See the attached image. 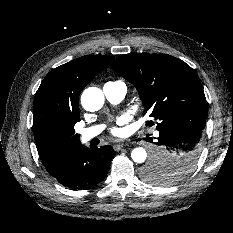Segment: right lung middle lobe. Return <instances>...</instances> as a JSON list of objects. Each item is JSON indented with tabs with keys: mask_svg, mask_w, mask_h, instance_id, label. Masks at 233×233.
<instances>
[{
	"mask_svg": "<svg viewBox=\"0 0 233 233\" xmlns=\"http://www.w3.org/2000/svg\"><path fill=\"white\" fill-rule=\"evenodd\" d=\"M79 143V135H63L58 137L52 145V151H60L66 148H70Z\"/></svg>",
	"mask_w": 233,
	"mask_h": 233,
	"instance_id": "1",
	"label": "right lung middle lobe"
}]
</instances>
